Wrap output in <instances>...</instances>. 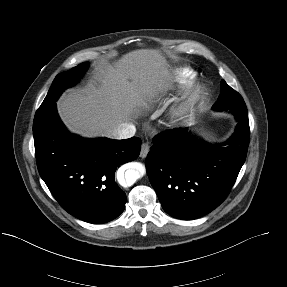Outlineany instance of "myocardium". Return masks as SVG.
<instances>
[{
	"instance_id": "myocardium-1",
	"label": "myocardium",
	"mask_w": 287,
	"mask_h": 287,
	"mask_svg": "<svg viewBox=\"0 0 287 287\" xmlns=\"http://www.w3.org/2000/svg\"><path fill=\"white\" fill-rule=\"evenodd\" d=\"M206 95V87L202 84H194L185 94V97L177 112L187 111L197 105Z\"/></svg>"
}]
</instances>
